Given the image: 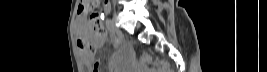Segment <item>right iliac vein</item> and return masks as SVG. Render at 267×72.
<instances>
[{"mask_svg": "<svg viewBox=\"0 0 267 72\" xmlns=\"http://www.w3.org/2000/svg\"><path fill=\"white\" fill-rule=\"evenodd\" d=\"M113 24H114V28L116 29L117 18L115 14L113 15Z\"/></svg>", "mask_w": 267, "mask_h": 72, "instance_id": "obj_1", "label": "right iliac vein"}]
</instances>
